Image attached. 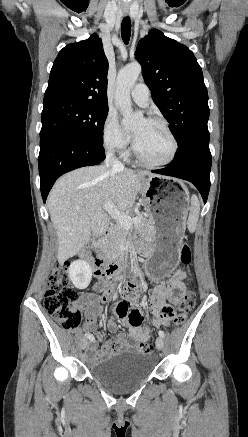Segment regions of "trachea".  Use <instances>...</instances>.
Segmentation results:
<instances>
[{"instance_id":"3493384b","label":"trachea","mask_w":248,"mask_h":437,"mask_svg":"<svg viewBox=\"0 0 248 437\" xmlns=\"http://www.w3.org/2000/svg\"><path fill=\"white\" fill-rule=\"evenodd\" d=\"M131 35V20L125 17L121 24V36L125 44H128Z\"/></svg>"}]
</instances>
